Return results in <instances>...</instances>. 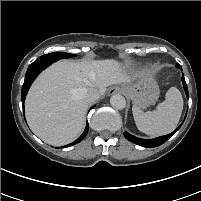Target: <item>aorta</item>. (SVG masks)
I'll list each match as a JSON object with an SVG mask.
<instances>
[{
    "instance_id": "aorta-1",
    "label": "aorta",
    "mask_w": 201,
    "mask_h": 201,
    "mask_svg": "<svg viewBox=\"0 0 201 201\" xmlns=\"http://www.w3.org/2000/svg\"><path fill=\"white\" fill-rule=\"evenodd\" d=\"M110 104L115 109H124L126 106V100L122 95L114 94L110 98Z\"/></svg>"
}]
</instances>
